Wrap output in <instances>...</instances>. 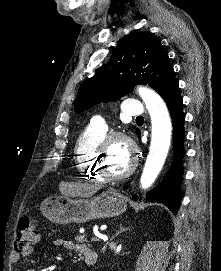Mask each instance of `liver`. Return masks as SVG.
Returning a JSON list of instances; mask_svg holds the SVG:
<instances>
[{"mask_svg": "<svg viewBox=\"0 0 221 271\" xmlns=\"http://www.w3.org/2000/svg\"><path fill=\"white\" fill-rule=\"evenodd\" d=\"M96 189H100V187H96ZM91 193H93V189H90ZM69 193L72 195H81V197H89L90 193H88V187H78V185H71Z\"/></svg>", "mask_w": 221, "mask_h": 271, "instance_id": "1", "label": "liver"}]
</instances>
